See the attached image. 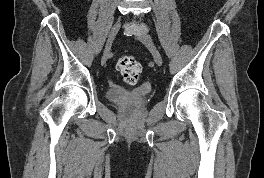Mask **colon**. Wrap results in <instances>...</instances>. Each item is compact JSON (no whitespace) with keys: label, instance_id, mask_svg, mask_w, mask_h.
Wrapping results in <instances>:
<instances>
[{"label":"colon","instance_id":"1","mask_svg":"<svg viewBox=\"0 0 264 178\" xmlns=\"http://www.w3.org/2000/svg\"><path fill=\"white\" fill-rule=\"evenodd\" d=\"M117 70L126 83L133 85L139 79L142 66L135 57L124 56L117 63Z\"/></svg>","mask_w":264,"mask_h":178}]
</instances>
